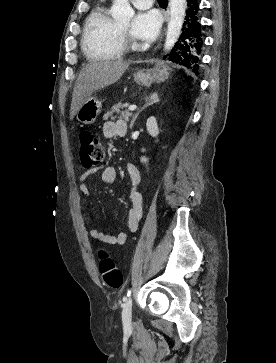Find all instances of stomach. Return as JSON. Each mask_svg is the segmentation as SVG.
Wrapping results in <instances>:
<instances>
[{
    "label": "stomach",
    "mask_w": 276,
    "mask_h": 363,
    "mask_svg": "<svg viewBox=\"0 0 276 363\" xmlns=\"http://www.w3.org/2000/svg\"><path fill=\"white\" fill-rule=\"evenodd\" d=\"M167 78V69L160 64H157L153 69L140 70L134 74V81L145 87H149L153 83L164 82ZM101 108V101L95 96H90L78 109L77 120L85 125L92 124L100 114Z\"/></svg>",
    "instance_id": "obj_1"
}]
</instances>
